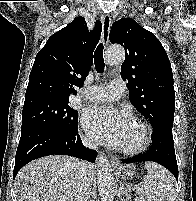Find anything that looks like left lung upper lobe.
I'll return each instance as SVG.
<instances>
[{"label":"left lung upper lobe","instance_id":"5c2ea615","mask_svg":"<svg viewBox=\"0 0 196 201\" xmlns=\"http://www.w3.org/2000/svg\"><path fill=\"white\" fill-rule=\"evenodd\" d=\"M109 38L125 49L121 77L128 81L131 103L150 121L153 131L173 127V73L160 41L131 18L114 22Z\"/></svg>","mask_w":196,"mask_h":201}]
</instances>
